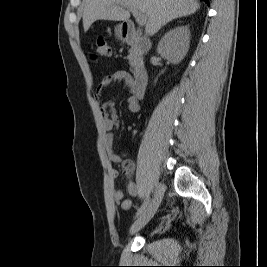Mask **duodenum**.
I'll return each instance as SVG.
<instances>
[{
    "label": "duodenum",
    "instance_id": "1",
    "mask_svg": "<svg viewBox=\"0 0 267 267\" xmlns=\"http://www.w3.org/2000/svg\"><path fill=\"white\" fill-rule=\"evenodd\" d=\"M122 36L126 43L135 46L142 52L148 51L151 48L150 41L138 33L134 23L131 21H127L123 24ZM133 76V94L137 98H142L148 82V73L146 68L143 65H137L133 70Z\"/></svg>",
    "mask_w": 267,
    "mask_h": 267
}]
</instances>
